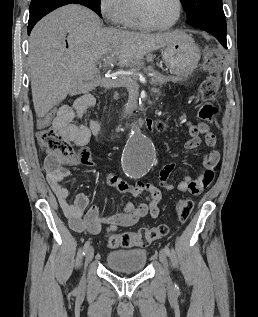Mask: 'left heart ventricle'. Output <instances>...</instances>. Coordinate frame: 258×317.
<instances>
[{
  "label": "left heart ventricle",
  "instance_id": "obj_1",
  "mask_svg": "<svg viewBox=\"0 0 258 317\" xmlns=\"http://www.w3.org/2000/svg\"><path fill=\"white\" fill-rule=\"evenodd\" d=\"M177 5L173 0H154L145 11V19L150 26H165L174 21Z\"/></svg>",
  "mask_w": 258,
  "mask_h": 317
}]
</instances>
